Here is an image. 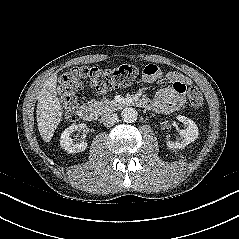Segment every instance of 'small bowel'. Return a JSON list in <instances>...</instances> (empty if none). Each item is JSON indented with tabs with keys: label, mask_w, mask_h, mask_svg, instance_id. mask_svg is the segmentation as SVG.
<instances>
[{
	"label": "small bowel",
	"mask_w": 239,
	"mask_h": 239,
	"mask_svg": "<svg viewBox=\"0 0 239 239\" xmlns=\"http://www.w3.org/2000/svg\"><path fill=\"white\" fill-rule=\"evenodd\" d=\"M161 77L160 69L154 64H148L144 68L143 81L153 83ZM171 86L160 89L155 98L150 101L152 109L158 113H169L178 110L184 102V86L189 80L176 73L168 75Z\"/></svg>",
	"instance_id": "c3829d8e"
}]
</instances>
